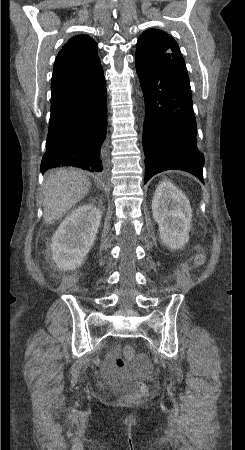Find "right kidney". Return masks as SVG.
<instances>
[{
	"label": "right kidney",
	"mask_w": 245,
	"mask_h": 450,
	"mask_svg": "<svg viewBox=\"0 0 245 450\" xmlns=\"http://www.w3.org/2000/svg\"><path fill=\"white\" fill-rule=\"evenodd\" d=\"M102 212L85 204L69 214L52 237L53 260L62 271L81 265L91 250L101 222Z\"/></svg>",
	"instance_id": "obj_1"
}]
</instances>
